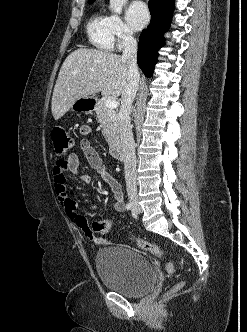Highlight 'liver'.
Listing matches in <instances>:
<instances>
[{"label":"liver","instance_id":"6515ba94","mask_svg":"<svg viewBox=\"0 0 247 332\" xmlns=\"http://www.w3.org/2000/svg\"><path fill=\"white\" fill-rule=\"evenodd\" d=\"M129 67L117 54L79 48L63 62L54 87L51 109L55 120L63 117L81 97L102 93L119 97L127 88Z\"/></svg>","mask_w":247,"mask_h":332}]
</instances>
